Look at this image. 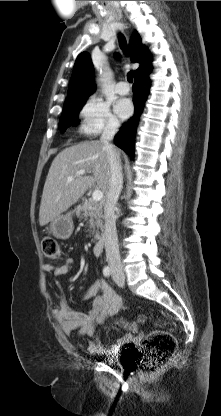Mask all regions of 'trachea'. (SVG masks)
<instances>
[{
	"mask_svg": "<svg viewBox=\"0 0 221 416\" xmlns=\"http://www.w3.org/2000/svg\"><path fill=\"white\" fill-rule=\"evenodd\" d=\"M118 38H119V43H120V47H121V49L125 50V49H126L127 44H126V39H125L124 35H123V34H119V35H118ZM127 80H128L130 83H132V82H133V71L128 72V74H127Z\"/></svg>",
	"mask_w": 221,
	"mask_h": 416,
	"instance_id": "3493384b",
	"label": "trachea"
}]
</instances>
